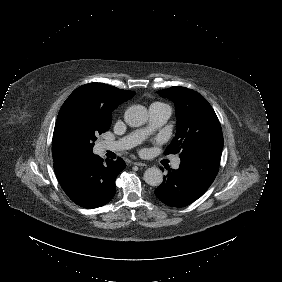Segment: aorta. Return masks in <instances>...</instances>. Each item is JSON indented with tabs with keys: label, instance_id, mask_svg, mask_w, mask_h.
Here are the masks:
<instances>
[{
	"label": "aorta",
	"instance_id": "1",
	"mask_svg": "<svg viewBox=\"0 0 282 282\" xmlns=\"http://www.w3.org/2000/svg\"><path fill=\"white\" fill-rule=\"evenodd\" d=\"M124 120L131 127L144 125L148 120L147 108L142 105L130 106L124 113ZM143 176L150 186H159L163 182L162 171L157 167L148 168Z\"/></svg>",
	"mask_w": 282,
	"mask_h": 282
}]
</instances>
